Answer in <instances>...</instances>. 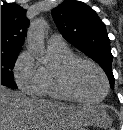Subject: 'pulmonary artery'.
<instances>
[{
	"mask_svg": "<svg viewBox=\"0 0 123 130\" xmlns=\"http://www.w3.org/2000/svg\"><path fill=\"white\" fill-rule=\"evenodd\" d=\"M48 45L49 47L57 49H64L67 47L64 38L58 34H53L50 36V38L48 39Z\"/></svg>",
	"mask_w": 123,
	"mask_h": 130,
	"instance_id": "e3ab8cb5",
	"label": "pulmonary artery"
}]
</instances>
